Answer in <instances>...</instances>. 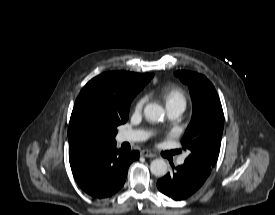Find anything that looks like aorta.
<instances>
[{
  "label": "aorta",
  "mask_w": 275,
  "mask_h": 215,
  "mask_svg": "<svg viewBox=\"0 0 275 215\" xmlns=\"http://www.w3.org/2000/svg\"><path fill=\"white\" fill-rule=\"evenodd\" d=\"M144 115L148 121L159 122L164 117V109L156 104H147L144 108ZM168 165L163 159H155L150 164V171L157 177H163L167 174Z\"/></svg>",
  "instance_id": "obj_1"
}]
</instances>
